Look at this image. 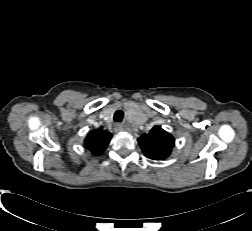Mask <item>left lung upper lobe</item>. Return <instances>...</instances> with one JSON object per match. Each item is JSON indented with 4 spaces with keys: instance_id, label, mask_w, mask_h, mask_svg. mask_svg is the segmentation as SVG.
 Returning <instances> with one entry per match:
<instances>
[{
    "instance_id": "left-lung-upper-lobe-1",
    "label": "left lung upper lobe",
    "mask_w": 252,
    "mask_h": 231,
    "mask_svg": "<svg viewBox=\"0 0 252 231\" xmlns=\"http://www.w3.org/2000/svg\"><path fill=\"white\" fill-rule=\"evenodd\" d=\"M138 143L146 157L163 160L170 155L175 140L171 134L155 126L148 134H143L138 138Z\"/></svg>"
}]
</instances>
